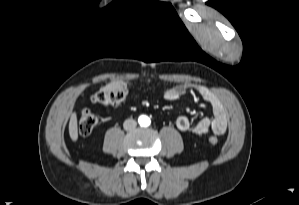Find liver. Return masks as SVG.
<instances>
[{
  "mask_svg": "<svg viewBox=\"0 0 299 205\" xmlns=\"http://www.w3.org/2000/svg\"><path fill=\"white\" fill-rule=\"evenodd\" d=\"M69 135L72 141H77L78 139V126H77V115L73 112L69 121Z\"/></svg>",
  "mask_w": 299,
  "mask_h": 205,
  "instance_id": "6515ba94",
  "label": "liver"
}]
</instances>
